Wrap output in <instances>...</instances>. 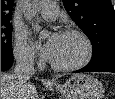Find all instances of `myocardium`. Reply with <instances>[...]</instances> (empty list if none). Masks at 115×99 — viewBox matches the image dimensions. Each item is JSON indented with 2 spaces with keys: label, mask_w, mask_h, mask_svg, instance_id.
Listing matches in <instances>:
<instances>
[{
  "label": "myocardium",
  "mask_w": 115,
  "mask_h": 99,
  "mask_svg": "<svg viewBox=\"0 0 115 99\" xmlns=\"http://www.w3.org/2000/svg\"><path fill=\"white\" fill-rule=\"evenodd\" d=\"M62 35L79 37L84 44V48H85L84 55L80 60L71 64L61 65V64H56L53 61H50L51 67L57 71H73L86 66L91 61L94 54V48L90 38L83 31L77 29H68L64 31Z\"/></svg>",
  "instance_id": "f54148a6"
}]
</instances>
